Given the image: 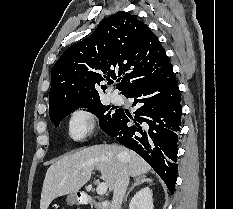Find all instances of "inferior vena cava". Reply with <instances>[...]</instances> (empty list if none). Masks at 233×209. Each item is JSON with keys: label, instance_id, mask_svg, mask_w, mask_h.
<instances>
[{"label": "inferior vena cava", "instance_id": "inferior-vena-cava-1", "mask_svg": "<svg viewBox=\"0 0 233 209\" xmlns=\"http://www.w3.org/2000/svg\"><path fill=\"white\" fill-rule=\"evenodd\" d=\"M129 172L125 164H121L117 179L114 185L111 209H121L123 198L129 184Z\"/></svg>", "mask_w": 233, "mask_h": 209}]
</instances>
